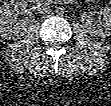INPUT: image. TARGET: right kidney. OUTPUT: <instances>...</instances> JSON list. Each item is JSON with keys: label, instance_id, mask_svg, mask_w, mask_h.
Here are the masks:
<instances>
[{"label": "right kidney", "instance_id": "1", "mask_svg": "<svg viewBox=\"0 0 111 106\" xmlns=\"http://www.w3.org/2000/svg\"><path fill=\"white\" fill-rule=\"evenodd\" d=\"M26 8L25 1L11 0L4 2L0 8V23H1V37L4 39H16L23 36L29 27V24L33 22V19L29 16L24 17L22 20H17L20 10Z\"/></svg>", "mask_w": 111, "mask_h": 106}]
</instances>
